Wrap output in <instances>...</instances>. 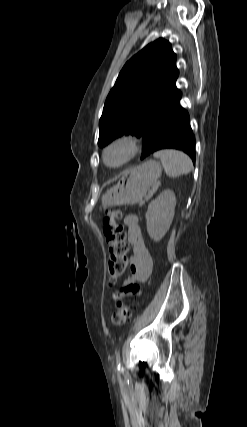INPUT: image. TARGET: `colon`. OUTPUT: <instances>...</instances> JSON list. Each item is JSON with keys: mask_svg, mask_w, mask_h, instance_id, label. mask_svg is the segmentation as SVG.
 Segmentation results:
<instances>
[{"mask_svg": "<svg viewBox=\"0 0 247 427\" xmlns=\"http://www.w3.org/2000/svg\"><path fill=\"white\" fill-rule=\"evenodd\" d=\"M121 212L117 209L106 211L103 219V233L109 245L108 259L109 282L114 284L125 272L127 266L128 245L122 226L119 223ZM131 305L118 302L111 314V322L116 326L124 325L132 316Z\"/></svg>", "mask_w": 247, "mask_h": 427, "instance_id": "1", "label": "colon"}]
</instances>
